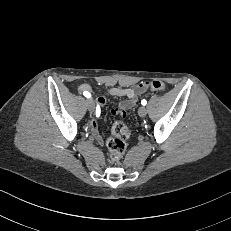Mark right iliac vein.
I'll return each instance as SVG.
<instances>
[{"label":"right iliac vein","instance_id":"63e3f726","mask_svg":"<svg viewBox=\"0 0 231 231\" xmlns=\"http://www.w3.org/2000/svg\"><path fill=\"white\" fill-rule=\"evenodd\" d=\"M87 108L90 112H93L95 109V103L92 99H87Z\"/></svg>","mask_w":231,"mask_h":231}]
</instances>
